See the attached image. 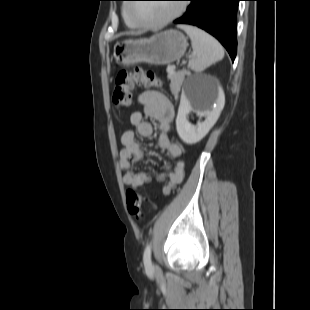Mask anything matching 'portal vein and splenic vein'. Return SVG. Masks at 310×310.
Wrapping results in <instances>:
<instances>
[{"instance_id":"obj_1","label":"portal vein and splenic vein","mask_w":310,"mask_h":310,"mask_svg":"<svg viewBox=\"0 0 310 310\" xmlns=\"http://www.w3.org/2000/svg\"><path fill=\"white\" fill-rule=\"evenodd\" d=\"M167 71H168V73H169V72H173V71H174V67H172V66L169 67V68L167 69Z\"/></svg>"}]
</instances>
